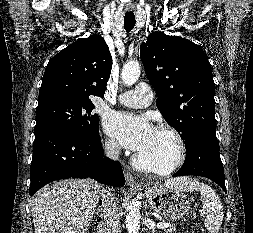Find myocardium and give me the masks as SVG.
Returning a JSON list of instances; mask_svg holds the SVG:
<instances>
[{
    "instance_id": "f54148a6",
    "label": "myocardium",
    "mask_w": 253,
    "mask_h": 233,
    "mask_svg": "<svg viewBox=\"0 0 253 233\" xmlns=\"http://www.w3.org/2000/svg\"><path fill=\"white\" fill-rule=\"evenodd\" d=\"M155 130L165 132L170 136H172V138L175 140L178 149V153L175 160L168 166L162 167L146 163L143 160H141L137 155H134L132 162L134 167L139 170L157 175H168L177 170L178 168H180L184 164L188 152L187 145L182 134L175 127L169 124L165 123L159 124L155 127Z\"/></svg>"
}]
</instances>
